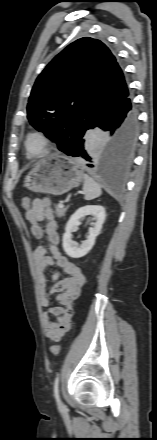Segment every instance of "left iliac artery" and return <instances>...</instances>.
I'll return each mask as SVG.
<instances>
[{"instance_id":"1","label":"left iliac artery","mask_w":157,"mask_h":440,"mask_svg":"<svg viewBox=\"0 0 157 440\" xmlns=\"http://www.w3.org/2000/svg\"><path fill=\"white\" fill-rule=\"evenodd\" d=\"M54 396L57 401V404L59 406H62V403H61L60 397H59V375L56 376L55 381H54Z\"/></svg>"}]
</instances>
